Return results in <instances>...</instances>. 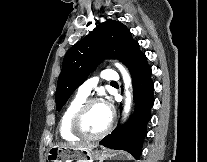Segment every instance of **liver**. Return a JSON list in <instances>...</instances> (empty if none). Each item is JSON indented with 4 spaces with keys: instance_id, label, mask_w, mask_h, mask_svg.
I'll return each mask as SVG.
<instances>
[{
    "instance_id": "obj_1",
    "label": "liver",
    "mask_w": 207,
    "mask_h": 162,
    "mask_svg": "<svg viewBox=\"0 0 207 162\" xmlns=\"http://www.w3.org/2000/svg\"><path fill=\"white\" fill-rule=\"evenodd\" d=\"M61 147L71 148V149H80V150H92L97 147V144L90 143H72V144H61Z\"/></svg>"
}]
</instances>
